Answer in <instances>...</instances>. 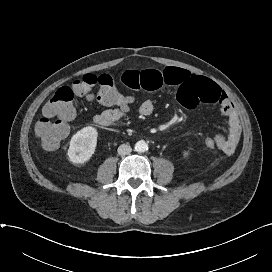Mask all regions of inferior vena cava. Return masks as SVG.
I'll return each instance as SVG.
<instances>
[{
    "mask_svg": "<svg viewBox=\"0 0 272 272\" xmlns=\"http://www.w3.org/2000/svg\"><path fill=\"white\" fill-rule=\"evenodd\" d=\"M131 152H132V148H131V146H129L127 144H122L118 147V154L121 156L128 155Z\"/></svg>",
    "mask_w": 272,
    "mask_h": 272,
    "instance_id": "obj_1",
    "label": "inferior vena cava"
}]
</instances>
